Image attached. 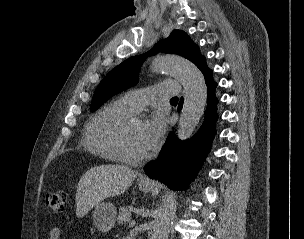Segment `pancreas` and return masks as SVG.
<instances>
[{
    "instance_id": "1",
    "label": "pancreas",
    "mask_w": 304,
    "mask_h": 239,
    "mask_svg": "<svg viewBox=\"0 0 304 239\" xmlns=\"http://www.w3.org/2000/svg\"><path fill=\"white\" fill-rule=\"evenodd\" d=\"M131 219V207L130 206H122L119 208V216L117 218V222L119 224L127 223Z\"/></svg>"
}]
</instances>
